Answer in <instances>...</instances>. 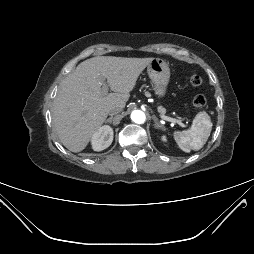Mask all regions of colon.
<instances>
[{"instance_id": "5ec220e1", "label": "colon", "mask_w": 254, "mask_h": 254, "mask_svg": "<svg viewBox=\"0 0 254 254\" xmlns=\"http://www.w3.org/2000/svg\"><path fill=\"white\" fill-rule=\"evenodd\" d=\"M189 83L191 86L197 87V86L201 85L202 78L197 74H193L189 77ZM205 105H206V99L204 96L197 95L196 97H194L193 106L196 109H202Z\"/></svg>"}]
</instances>
